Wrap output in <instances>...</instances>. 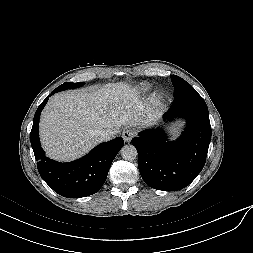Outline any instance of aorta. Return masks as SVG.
Segmentation results:
<instances>
[{"instance_id": "762f6f07", "label": "aorta", "mask_w": 253, "mask_h": 253, "mask_svg": "<svg viewBox=\"0 0 253 253\" xmlns=\"http://www.w3.org/2000/svg\"><path fill=\"white\" fill-rule=\"evenodd\" d=\"M120 152L122 158L129 161L136 159L138 155L137 149L133 145H124Z\"/></svg>"}]
</instances>
